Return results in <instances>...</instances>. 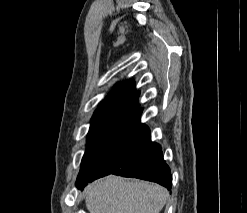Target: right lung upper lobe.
Listing matches in <instances>:
<instances>
[{
    "instance_id": "cb5924a9",
    "label": "right lung upper lobe",
    "mask_w": 247,
    "mask_h": 213,
    "mask_svg": "<svg viewBox=\"0 0 247 213\" xmlns=\"http://www.w3.org/2000/svg\"><path fill=\"white\" fill-rule=\"evenodd\" d=\"M139 91L134 90V81H124L116 85L100 103L92 119L107 112L119 109H133L138 105Z\"/></svg>"
}]
</instances>
